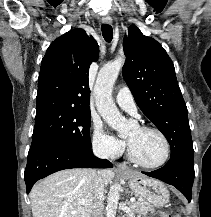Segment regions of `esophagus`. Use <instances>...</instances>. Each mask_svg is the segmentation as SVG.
Masks as SVG:
<instances>
[{
	"mask_svg": "<svg viewBox=\"0 0 211 217\" xmlns=\"http://www.w3.org/2000/svg\"><path fill=\"white\" fill-rule=\"evenodd\" d=\"M102 22L104 24H111L112 23V18L110 16H104V17H102ZM116 167L120 171H128V167L123 163L116 164Z\"/></svg>",
	"mask_w": 211,
	"mask_h": 217,
	"instance_id": "obj_1",
	"label": "esophagus"
}]
</instances>
